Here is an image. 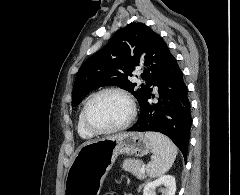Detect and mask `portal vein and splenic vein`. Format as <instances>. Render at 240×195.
<instances>
[{
  "label": "portal vein and splenic vein",
  "mask_w": 240,
  "mask_h": 195,
  "mask_svg": "<svg viewBox=\"0 0 240 195\" xmlns=\"http://www.w3.org/2000/svg\"><path fill=\"white\" fill-rule=\"evenodd\" d=\"M140 171L141 173H145V167H141Z\"/></svg>",
  "instance_id": "18ae733b"
}]
</instances>
